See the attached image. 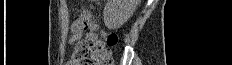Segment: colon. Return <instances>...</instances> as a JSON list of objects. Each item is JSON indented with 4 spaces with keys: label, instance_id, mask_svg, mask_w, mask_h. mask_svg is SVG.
<instances>
[{
    "label": "colon",
    "instance_id": "1",
    "mask_svg": "<svg viewBox=\"0 0 232 65\" xmlns=\"http://www.w3.org/2000/svg\"><path fill=\"white\" fill-rule=\"evenodd\" d=\"M117 40L115 34L99 39L89 31L87 38L77 45V51L86 65H112L109 48L115 46Z\"/></svg>",
    "mask_w": 232,
    "mask_h": 65
}]
</instances>
